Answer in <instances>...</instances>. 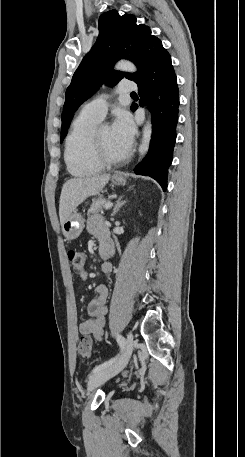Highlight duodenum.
<instances>
[{"label": "duodenum", "instance_id": "duodenum-1", "mask_svg": "<svg viewBox=\"0 0 245 457\" xmlns=\"http://www.w3.org/2000/svg\"><path fill=\"white\" fill-rule=\"evenodd\" d=\"M100 254H101V257L104 259V260H107L109 258V253L106 249H102L100 251Z\"/></svg>", "mask_w": 245, "mask_h": 457}]
</instances>
